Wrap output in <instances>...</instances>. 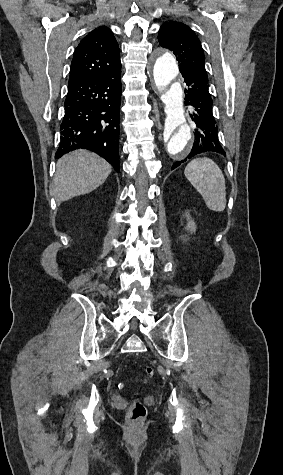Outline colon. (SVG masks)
Returning a JSON list of instances; mask_svg holds the SVG:
<instances>
[{
    "label": "colon",
    "instance_id": "colon-1",
    "mask_svg": "<svg viewBox=\"0 0 283 475\" xmlns=\"http://www.w3.org/2000/svg\"><path fill=\"white\" fill-rule=\"evenodd\" d=\"M145 375L147 378H151L154 376L155 369L153 366L148 365L144 369ZM147 415V409L142 400L139 396H135L132 402L131 408L129 410V418L133 421H141Z\"/></svg>",
    "mask_w": 283,
    "mask_h": 475
}]
</instances>
